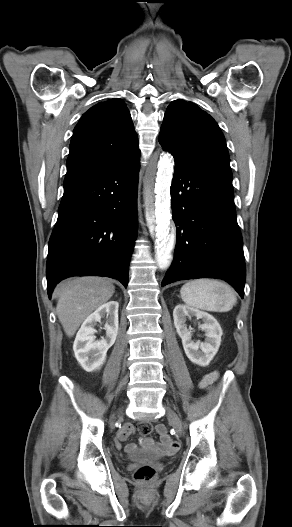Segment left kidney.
<instances>
[{
	"label": "left kidney",
	"mask_w": 292,
	"mask_h": 527,
	"mask_svg": "<svg viewBox=\"0 0 292 527\" xmlns=\"http://www.w3.org/2000/svg\"><path fill=\"white\" fill-rule=\"evenodd\" d=\"M195 316L202 319L199 327L205 332L204 342H194L191 339L192 331L187 328L186 319ZM176 331L182 339V345L189 360L200 366H207L212 361L221 344L222 329L217 320L210 314L198 309L177 305L173 311Z\"/></svg>",
	"instance_id": "5707ae66"
}]
</instances>
